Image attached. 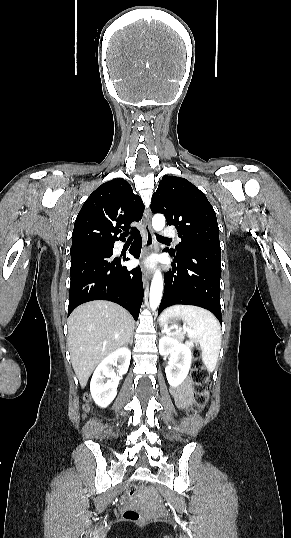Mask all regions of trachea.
<instances>
[{
	"mask_svg": "<svg viewBox=\"0 0 291 538\" xmlns=\"http://www.w3.org/2000/svg\"><path fill=\"white\" fill-rule=\"evenodd\" d=\"M156 237H157L158 240H162V241H170V239L165 238V237L160 236V235H156ZM130 238H132V237H130Z\"/></svg>",
	"mask_w": 291,
	"mask_h": 538,
	"instance_id": "1",
	"label": "trachea"
}]
</instances>
